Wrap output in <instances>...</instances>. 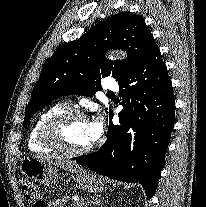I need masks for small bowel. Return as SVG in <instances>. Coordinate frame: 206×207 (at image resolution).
I'll return each instance as SVG.
<instances>
[{
  "instance_id": "small-bowel-1",
  "label": "small bowel",
  "mask_w": 206,
  "mask_h": 207,
  "mask_svg": "<svg viewBox=\"0 0 206 207\" xmlns=\"http://www.w3.org/2000/svg\"><path fill=\"white\" fill-rule=\"evenodd\" d=\"M66 199L54 200L49 203V207H66Z\"/></svg>"
}]
</instances>
